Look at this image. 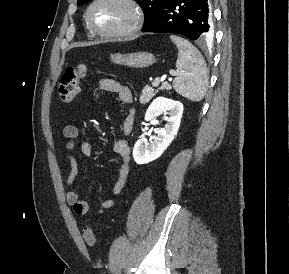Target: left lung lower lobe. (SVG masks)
<instances>
[{"instance_id":"1","label":"left lung lower lobe","mask_w":289,"mask_h":274,"mask_svg":"<svg viewBox=\"0 0 289 274\" xmlns=\"http://www.w3.org/2000/svg\"><path fill=\"white\" fill-rule=\"evenodd\" d=\"M142 31L205 41L213 34L208 0H165L158 15Z\"/></svg>"}]
</instances>
